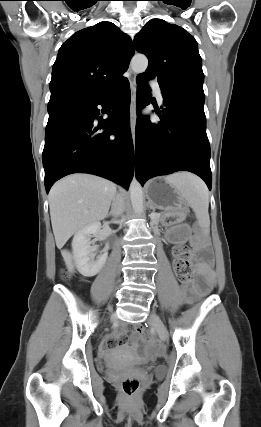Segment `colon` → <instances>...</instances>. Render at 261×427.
Instances as JSON below:
<instances>
[{
	"instance_id": "1",
	"label": "colon",
	"mask_w": 261,
	"mask_h": 427,
	"mask_svg": "<svg viewBox=\"0 0 261 427\" xmlns=\"http://www.w3.org/2000/svg\"><path fill=\"white\" fill-rule=\"evenodd\" d=\"M188 253V249L185 246H177L173 249L174 269L182 284H186L191 278L189 266L186 260ZM63 275L66 276L67 272H64ZM136 332L142 343L149 342V337L142 327H138ZM139 387L140 382L135 377H128L124 379L121 384L123 393L128 397L134 396L138 392Z\"/></svg>"
}]
</instances>
